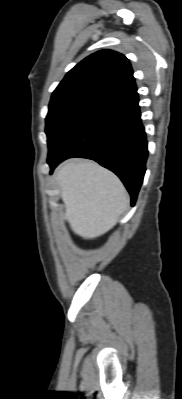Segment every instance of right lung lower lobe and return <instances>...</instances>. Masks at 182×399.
I'll return each instance as SVG.
<instances>
[{"mask_svg": "<svg viewBox=\"0 0 182 399\" xmlns=\"http://www.w3.org/2000/svg\"><path fill=\"white\" fill-rule=\"evenodd\" d=\"M138 102L135 90L107 101L76 122L49 148L47 163L51 172L67 158L95 160L119 176L133 206L148 155Z\"/></svg>", "mask_w": 182, "mask_h": 399, "instance_id": "1", "label": "right lung lower lobe"}]
</instances>
